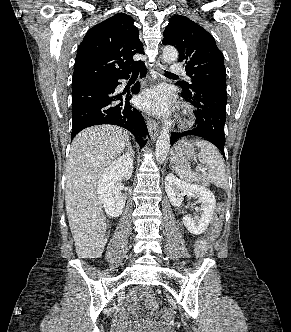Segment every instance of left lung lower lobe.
<instances>
[{"label": "left lung lower lobe", "mask_w": 291, "mask_h": 332, "mask_svg": "<svg viewBox=\"0 0 291 332\" xmlns=\"http://www.w3.org/2000/svg\"><path fill=\"white\" fill-rule=\"evenodd\" d=\"M187 101L196 107L195 117L197 127L182 133L171 134V145L187 135L203 137L215 145L224 156L225 134L224 125L226 121V88L219 86H199L192 92H183ZM225 158V157H224Z\"/></svg>", "instance_id": "obj_1"}]
</instances>
